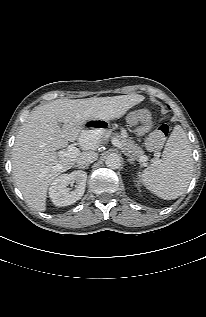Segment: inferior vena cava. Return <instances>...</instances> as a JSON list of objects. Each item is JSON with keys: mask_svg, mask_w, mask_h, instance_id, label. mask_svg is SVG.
Returning <instances> with one entry per match:
<instances>
[{"mask_svg": "<svg viewBox=\"0 0 206 317\" xmlns=\"http://www.w3.org/2000/svg\"><path fill=\"white\" fill-rule=\"evenodd\" d=\"M98 158V154L95 152H84L77 158V164L80 167L87 166L94 161H96Z\"/></svg>", "mask_w": 206, "mask_h": 317, "instance_id": "602c4592", "label": "inferior vena cava"}]
</instances>
